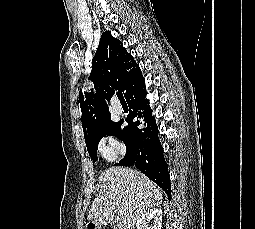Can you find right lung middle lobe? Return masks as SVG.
Listing matches in <instances>:
<instances>
[{"mask_svg": "<svg viewBox=\"0 0 255 229\" xmlns=\"http://www.w3.org/2000/svg\"><path fill=\"white\" fill-rule=\"evenodd\" d=\"M122 121L119 122H113L110 119L104 121L95 131V133L92 135V137L88 140L85 141L88 153L91 157V160L96 162L97 160V149H98V143L101 140L102 137L105 135H115L123 140L127 147V153L126 155L130 152L131 150V144L129 139L127 138L126 135V129L125 127H121ZM125 155V156H126Z\"/></svg>", "mask_w": 255, "mask_h": 229, "instance_id": "obj_1", "label": "right lung middle lobe"}]
</instances>
